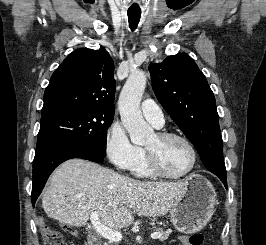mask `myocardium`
I'll list each match as a JSON object with an SVG mask.
<instances>
[{
  "instance_id": "f54148a6",
  "label": "myocardium",
  "mask_w": 266,
  "mask_h": 245,
  "mask_svg": "<svg viewBox=\"0 0 266 245\" xmlns=\"http://www.w3.org/2000/svg\"><path fill=\"white\" fill-rule=\"evenodd\" d=\"M157 136L162 139L176 138V139L183 141L189 147L191 151L192 161H191V165L189 169L185 173L179 176L169 175V174L164 173L158 167L153 156L147 151V149H145L146 162L152 175L157 178L167 179V180H182V179L187 178L194 171V169L196 168L197 162H198V153H197V150L194 144L186 136L179 134V133H175V132L161 131L157 133Z\"/></svg>"
}]
</instances>
